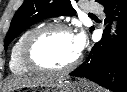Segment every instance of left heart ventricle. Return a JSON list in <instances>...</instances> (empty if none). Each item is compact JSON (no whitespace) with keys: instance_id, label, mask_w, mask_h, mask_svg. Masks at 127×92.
Segmentation results:
<instances>
[{"instance_id":"1","label":"left heart ventricle","mask_w":127,"mask_h":92,"mask_svg":"<svg viewBox=\"0 0 127 92\" xmlns=\"http://www.w3.org/2000/svg\"><path fill=\"white\" fill-rule=\"evenodd\" d=\"M33 55L41 65L51 68L63 67L78 55L74 36L63 31L47 33L35 44Z\"/></svg>"}]
</instances>
